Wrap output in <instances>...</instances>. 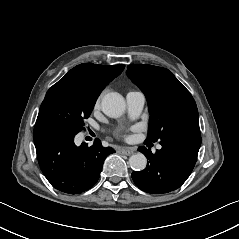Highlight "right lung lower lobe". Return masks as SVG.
<instances>
[{"mask_svg": "<svg viewBox=\"0 0 239 239\" xmlns=\"http://www.w3.org/2000/svg\"><path fill=\"white\" fill-rule=\"evenodd\" d=\"M77 133L60 123L46 122L34 127V143L40 168L59 191L79 194L99 179L105 158L115 151L97 140L91 147L76 146Z\"/></svg>", "mask_w": 239, "mask_h": 239, "instance_id": "98d812e1", "label": "right lung lower lobe"}]
</instances>
